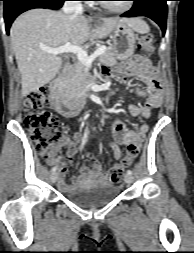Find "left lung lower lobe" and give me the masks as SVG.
<instances>
[{"mask_svg": "<svg viewBox=\"0 0 194 253\" xmlns=\"http://www.w3.org/2000/svg\"><path fill=\"white\" fill-rule=\"evenodd\" d=\"M133 7L122 14V17L146 16L154 20L162 29L164 35L167 20L168 0H132Z\"/></svg>", "mask_w": 194, "mask_h": 253, "instance_id": "left-lung-lower-lobe-1", "label": "left lung lower lobe"}]
</instances>
